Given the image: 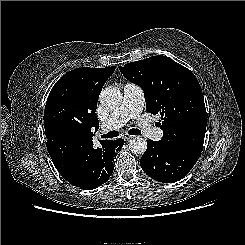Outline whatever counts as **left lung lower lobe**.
Here are the masks:
<instances>
[{
    "instance_id": "1",
    "label": "left lung lower lobe",
    "mask_w": 245,
    "mask_h": 245,
    "mask_svg": "<svg viewBox=\"0 0 245 245\" xmlns=\"http://www.w3.org/2000/svg\"><path fill=\"white\" fill-rule=\"evenodd\" d=\"M201 152L193 149H173L161 141L149 140L140 165L152 179L162 183H174L189 173Z\"/></svg>"
}]
</instances>
